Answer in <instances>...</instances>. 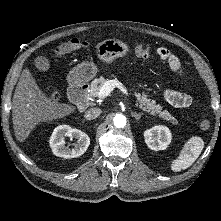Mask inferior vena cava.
<instances>
[{"label":"inferior vena cava","instance_id":"inferior-vena-cava-1","mask_svg":"<svg viewBox=\"0 0 221 221\" xmlns=\"http://www.w3.org/2000/svg\"><path fill=\"white\" fill-rule=\"evenodd\" d=\"M101 112L102 111L99 108H90L85 112L84 117L87 120H92L97 118L101 114Z\"/></svg>","mask_w":221,"mask_h":221}]
</instances>
